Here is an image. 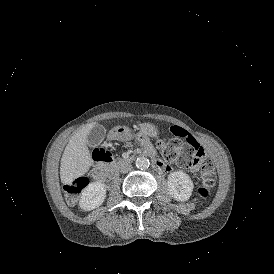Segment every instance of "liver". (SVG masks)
Segmentation results:
<instances>
[{
    "label": "liver",
    "instance_id": "obj_1",
    "mask_svg": "<svg viewBox=\"0 0 274 274\" xmlns=\"http://www.w3.org/2000/svg\"><path fill=\"white\" fill-rule=\"evenodd\" d=\"M96 125V122L84 125L71 137L65 147L60 166V179L63 184H71L73 180L83 176L92 165L86 138Z\"/></svg>",
    "mask_w": 274,
    "mask_h": 274
}]
</instances>
